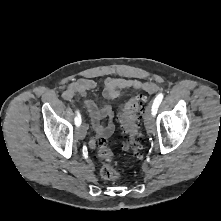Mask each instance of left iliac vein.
<instances>
[{
	"label": "left iliac vein",
	"instance_id": "4c4485c4",
	"mask_svg": "<svg viewBox=\"0 0 221 221\" xmlns=\"http://www.w3.org/2000/svg\"><path fill=\"white\" fill-rule=\"evenodd\" d=\"M144 123L147 132L153 133L155 130V122L152 116V111L150 106H148L146 109Z\"/></svg>",
	"mask_w": 221,
	"mask_h": 221
}]
</instances>
